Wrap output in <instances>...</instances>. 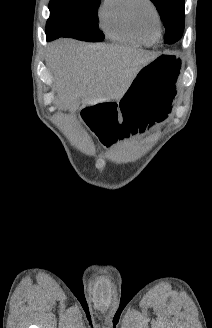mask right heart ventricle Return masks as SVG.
Instances as JSON below:
<instances>
[{
    "label": "right heart ventricle",
    "instance_id": "1",
    "mask_svg": "<svg viewBox=\"0 0 212 328\" xmlns=\"http://www.w3.org/2000/svg\"><path fill=\"white\" fill-rule=\"evenodd\" d=\"M132 0H104L99 10V24L111 39L131 45H151L158 38L157 32L141 34L135 28L130 8Z\"/></svg>",
    "mask_w": 212,
    "mask_h": 328
}]
</instances>
